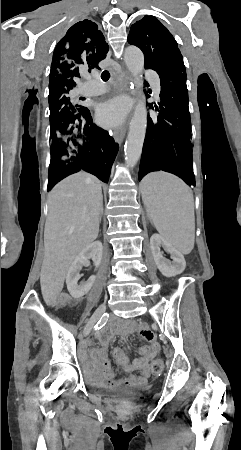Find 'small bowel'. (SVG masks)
I'll return each mask as SVG.
<instances>
[{
	"label": "small bowel",
	"instance_id": "obj_1",
	"mask_svg": "<svg viewBox=\"0 0 241 450\" xmlns=\"http://www.w3.org/2000/svg\"><path fill=\"white\" fill-rule=\"evenodd\" d=\"M131 333L138 334L148 344L138 348L139 357L133 361H130L123 348H113L112 357L115 363L128 373V376L118 378L108 358L109 344L114 336L125 338ZM95 337L101 343V348H94L91 356L83 357V368L88 370L89 380L93 385L115 389L147 384L151 376L150 362L160 351V344L147 325L131 319L120 320L96 331ZM91 344V340L86 339L82 342V348H87ZM134 370H139L140 374H133Z\"/></svg>",
	"mask_w": 241,
	"mask_h": 450
}]
</instances>
